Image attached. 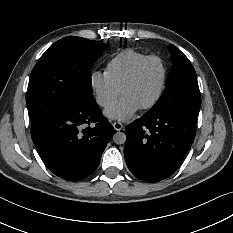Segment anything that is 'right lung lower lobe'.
Masks as SVG:
<instances>
[{"instance_id": "obj_1", "label": "right lung lower lobe", "mask_w": 233, "mask_h": 233, "mask_svg": "<svg viewBox=\"0 0 233 233\" xmlns=\"http://www.w3.org/2000/svg\"><path fill=\"white\" fill-rule=\"evenodd\" d=\"M113 131L90 97L78 98L64 110L31 124L41 158L55 175L68 181L82 180L96 170Z\"/></svg>"}]
</instances>
